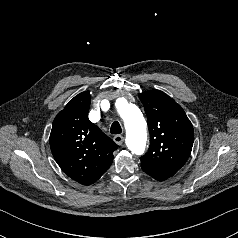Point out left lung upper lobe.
Here are the masks:
<instances>
[{"label": "left lung upper lobe", "instance_id": "left-lung-upper-lobe-1", "mask_svg": "<svg viewBox=\"0 0 238 238\" xmlns=\"http://www.w3.org/2000/svg\"><path fill=\"white\" fill-rule=\"evenodd\" d=\"M147 115L151 137L141 167L156 177L173 176L187 161L194 141L193 126L182 107L167 94L150 90L138 95Z\"/></svg>", "mask_w": 238, "mask_h": 238}]
</instances>
